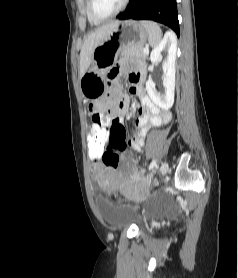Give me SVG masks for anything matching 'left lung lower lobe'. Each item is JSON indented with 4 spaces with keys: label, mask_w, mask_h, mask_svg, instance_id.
<instances>
[{
    "label": "left lung lower lobe",
    "mask_w": 238,
    "mask_h": 278,
    "mask_svg": "<svg viewBox=\"0 0 238 278\" xmlns=\"http://www.w3.org/2000/svg\"><path fill=\"white\" fill-rule=\"evenodd\" d=\"M119 20H153L169 26L179 37L176 0H131Z\"/></svg>",
    "instance_id": "0a47b994"
}]
</instances>
